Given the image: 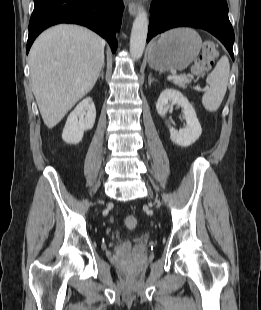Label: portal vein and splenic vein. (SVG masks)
Returning a JSON list of instances; mask_svg holds the SVG:
<instances>
[{
	"label": "portal vein and splenic vein",
	"instance_id": "portal-vein-and-splenic-vein-1",
	"mask_svg": "<svg viewBox=\"0 0 261 310\" xmlns=\"http://www.w3.org/2000/svg\"><path fill=\"white\" fill-rule=\"evenodd\" d=\"M175 78H177V75L175 73L170 75V76H168V79H175ZM196 90H201V89L196 88Z\"/></svg>",
	"mask_w": 261,
	"mask_h": 310
}]
</instances>
